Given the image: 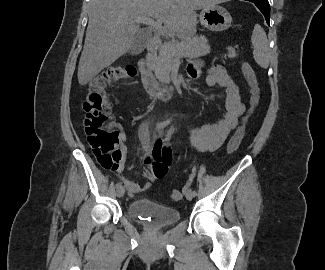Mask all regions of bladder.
I'll use <instances>...</instances> for the list:
<instances>
[{"mask_svg": "<svg viewBox=\"0 0 325 270\" xmlns=\"http://www.w3.org/2000/svg\"><path fill=\"white\" fill-rule=\"evenodd\" d=\"M126 211L130 218L151 228L171 226L181 219V214L177 208L147 198L132 201L127 206Z\"/></svg>", "mask_w": 325, "mask_h": 270, "instance_id": "bladder-1", "label": "bladder"}]
</instances>
